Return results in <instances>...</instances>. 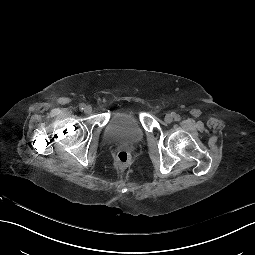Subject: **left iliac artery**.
<instances>
[{
  "mask_svg": "<svg viewBox=\"0 0 255 255\" xmlns=\"http://www.w3.org/2000/svg\"><path fill=\"white\" fill-rule=\"evenodd\" d=\"M175 120L179 121L180 120V116L179 115H175Z\"/></svg>",
  "mask_w": 255,
  "mask_h": 255,
  "instance_id": "left-iliac-artery-1",
  "label": "left iliac artery"
}]
</instances>
